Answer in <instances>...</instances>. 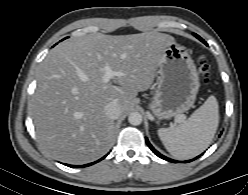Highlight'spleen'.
<instances>
[{
    "instance_id": "spleen-1",
    "label": "spleen",
    "mask_w": 248,
    "mask_h": 195,
    "mask_svg": "<svg viewBox=\"0 0 248 195\" xmlns=\"http://www.w3.org/2000/svg\"><path fill=\"white\" fill-rule=\"evenodd\" d=\"M218 124V102L210 96L187 120H181L176 126L160 128L158 136L172 156L190 159L210 145Z\"/></svg>"
}]
</instances>
